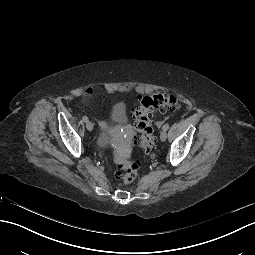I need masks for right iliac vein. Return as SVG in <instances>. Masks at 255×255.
Here are the masks:
<instances>
[{
    "instance_id": "right-iliac-vein-1",
    "label": "right iliac vein",
    "mask_w": 255,
    "mask_h": 255,
    "mask_svg": "<svg viewBox=\"0 0 255 255\" xmlns=\"http://www.w3.org/2000/svg\"><path fill=\"white\" fill-rule=\"evenodd\" d=\"M86 128H87L88 131H92L93 130V123L88 121L86 123Z\"/></svg>"
}]
</instances>
